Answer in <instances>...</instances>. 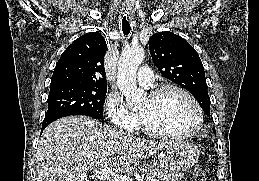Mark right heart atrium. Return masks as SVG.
Here are the masks:
<instances>
[{
	"mask_svg": "<svg viewBox=\"0 0 259 181\" xmlns=\"http://www.w3.org/2000/svg\"><path fill=\"white\" fill-rule=\"evenodd\" d=\"M105 110L112 124L118 129L133 131L138 125V115L130 111L122 98L115 93L107 96Z\"/></svg>",
	"mask_w": 259,
	"mask_h": 181,
	"instance_id": "right-heart-atrium-1",
	"label": "right heart atrium"
}]
</instances>
